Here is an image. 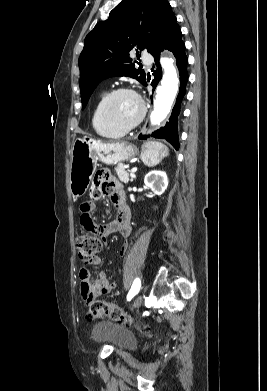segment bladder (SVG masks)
<instances>
[{"mask_svg": "<svg viewBox=\"0 0 267 391\" xmlns=\"http://www.w3.org/2000/svg\"><path fill=\"white\" fill-rule=\"evenodd\" d=\"M92 337L97 342L110 343L117 349H129L135 345L133 334L112 321H99L92 328Z\"/></svg>", "mask_w": 267, "mask_h": 391, "instance_id": "31cf9c89", "label": "bladder"}]
</instances>
